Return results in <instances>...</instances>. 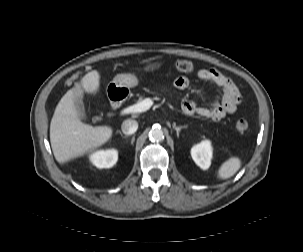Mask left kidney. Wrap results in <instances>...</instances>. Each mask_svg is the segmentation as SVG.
<instances>
[{
	"label": "left kidney",
	"instance_id": "obj_1",
	"mask_svg": "<svg viewBox=\"0 0 303 252\" xmlns=\"http://www.w3.org/2000/svg\"><path fill=\"white\" fill-rule=\"evenodd\" d=\"M212 146L209 140H204L191 148V156L201 169L206 170L211 165Z\"/></svg>",
	"mask_w": 303,
	"mask_h": 252
}]
</instances>
